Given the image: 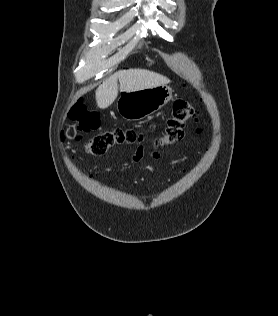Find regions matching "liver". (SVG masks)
<instances>
[{
  "label": "liver",
  "mask_w": 278,
  "mask_h": 316,
  "mask_svg": "<svg viewBox=\"0 0 278 316\" xmlns=\"http://www.w3.org/2000/svg\"><path fill=\"white\" fill-rule=\"evenodd\" d=\"M118 80L121 92H134L142 89L166 85L169 79L145 69L122 70L107 78L96 90L97 106L105 109L110 106L118 95Z\"/></svg>",
  "instance_id": "obj_1"
}]
</instances>
